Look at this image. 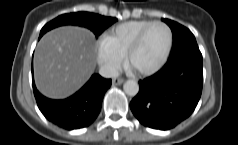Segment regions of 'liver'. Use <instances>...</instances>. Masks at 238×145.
I'll list each match as a JSON object with an SVG mask.
<instances>
[{
    "label": "liver",
    "instance_id": "1",
    "mask_svg": "<svg viewBox=\"0 0 238 145\" xmlns=\"http://www.w3.org/2000/svg\"><path fill=\"white\" fill-rule=\"evenodd\" d=\"M97 47L91 31L64 26L46 33L34 56V77L46 97L63 99L81 88L96 67Z\"/></svg>",
    "mask_w": 238,
    "mask_h": 145
}]
</instances>
